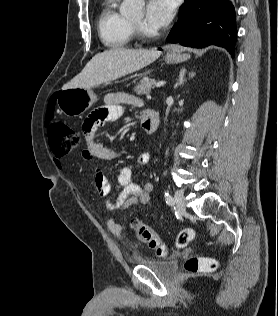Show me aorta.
<instances>
[{"label":"aorta","instance_id":"1","mask_svg":"<svg viewBox=\"0 0 278 316\" xmlns=\"http://www.w3.org/2000/svg\"><path fill=\"white\" fill-rule=\"evenodd\" d=\"M144 11V0H123L120 13L126 16L141 15Z\"/></svg>","mask_w":278,"mask_h":316}]
</instances>
